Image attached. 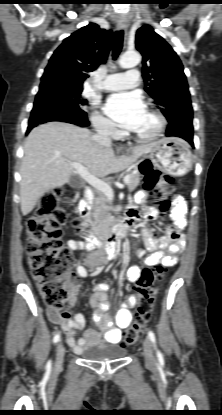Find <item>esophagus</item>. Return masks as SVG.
<instances>
[{"label": "esophagus", "mask_w": 222, "mask_h": 415, "mask_svg": "<svg viewBox=\"0 0 222 415\" xmlns=\"http://www.w3.org/2000/svg\"><path fill=\"white\" fill-rule=\"evenodd\" d=\"M128 28V21L125 19H121L119 20L118 24H117V29L118 30H123L126 31Z\"/></svg>", "instance_id": "34e87169"}]
</instances>
